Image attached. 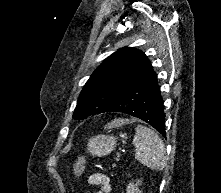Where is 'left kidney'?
<instances>
[{
  "label": "left kidney",
  "instance_id": "5707ae66",
  "mask_svg": "<svg viewBox=\"0 0 221 193\" xmlns=\"http://www.w3.org/2000/svg\"><path fill=\"white\" fill-rule=\"evenodd\" d=\"M141 184L140 181H137L136 184L134 183H130L128 186H127V193H142V191L139 190L138 186Z\"/></svg>",
  "mask_w": 221,
  "mask_h": 193
}]
</instances>
